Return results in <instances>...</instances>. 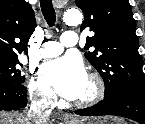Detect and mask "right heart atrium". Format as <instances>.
<instances>
[{"mask_svg":"<svg viewBox=\"0 0 145 124\" xmlns=\"http://www.w3.org/2000/svg\"><path fill=\"white\" fill-rule=\"evenodd\" d=\"M28 91L38 106L43 108L55 107L57 102L55 94L34 77L29 81Z\"/></svg>","mask_w":145,"mask_h":124,"instance_id":"1","label":"right heart atrium"}]
</instances>
